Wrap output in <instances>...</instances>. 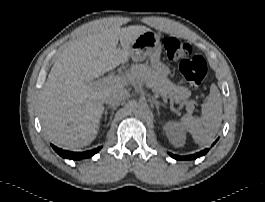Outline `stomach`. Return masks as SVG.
Returning a JSON list of instances; mask_svg holds the SVG:
<instances>
[{
  "mask_svg": "<svg viewBox=\"0 0 265 202\" xmlns=\"http://www.w3.org/2000/svg\"><path fill=\"white\" fill-rule=\"evenodd\" d=\"M162 45L159 36L152 30L141 33L131 45V57L140 62L145 58L150 59L153 69L163 76L170 74L168 66L160 61Z\"/></svg>",
  "mask_w": 265,
  "mask_h": 202,
  "instance_id": "1",
  "label": "stomach"
}]
</instances>
